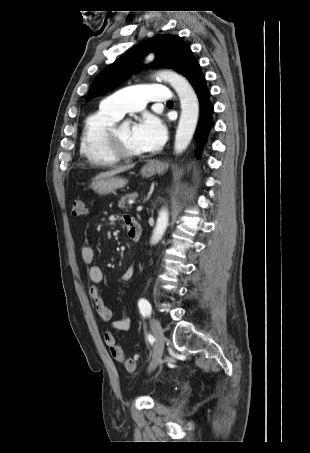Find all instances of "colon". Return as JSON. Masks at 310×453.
I'll return each instance as SVG.
<instances>
[{"mask_svg":"<svg viewBox=\"0 0 310 453\" xmlns=\"http://www.w3.org/2000/svg\"><path fill=\"white\" fill-rule=\"evenodd\" d=\"M87 212V206L83 199H76L72 205V215L74 217L84 216ZM137 357L128 358L124 361V367L127 371L132 372L137 367Z\"/></svg>","mask_w":310,"mask_h":453,"instance_id":"5ec220e1","label":"colon"}]
</instances>
